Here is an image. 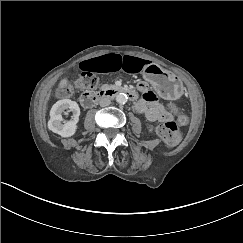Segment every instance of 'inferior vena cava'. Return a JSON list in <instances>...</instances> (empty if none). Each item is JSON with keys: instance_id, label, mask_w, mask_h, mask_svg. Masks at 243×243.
I'll use <instances>...</instances> for the list:
<instances>
[{"instance_id": "inferior-vena-cava-1", "label": "inferior vena cava", "mask_w": 243, "mask_h": 243, "mask_svg": "<svg viewBox=\"0 0 243 243\" xmlns=\"http://www.w3.org/2000/svg\"><path fill=\"white\" fill-rule=\"evenodd\" d=\"M99 104L101 107H106L111 104V100L108 97L104 96V97H101Z\"/></svg>"}]
</instances>
